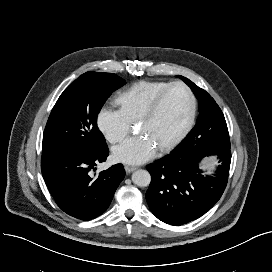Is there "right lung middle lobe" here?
Masks as SVG:
<instances>
[{
	"mask_svg": "<svg viewBox=\"0 0 272 272\" xmlns=\"http://www.w3.org/2000/svg\"><path fill=\"white\" fill-rule=\"evenodd\" d=\"M125 84L113 73L86 72L60 95L47 121L42 150L91 152L107 146L97 115L109 95Z\"/></svg>",
	"mask_w": 272,
	"mask_h": 272,
	"instance_id": "obj_1",
	"label": "right lung middle lobe"
}]
</instances>
